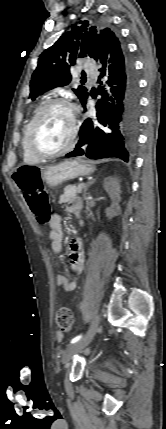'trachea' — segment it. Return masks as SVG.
I'll list each match as a JSON object with an SVG mask.
<instances>
[{"label":"trachea","mask_w":166,"mask_h":429,"mask_svg":"<svg viewBox=\"0 0 166 429\" xmlns=\"http://www.w3.org/2000/svg\"><path fill=\"white\" fill-rule=\"evenodd\" d=\"M82 81H83V82H84V81H86V78H85V77H83V78H82Z\"/></svg>","instance_id":"3493384b"}]
</instances>
